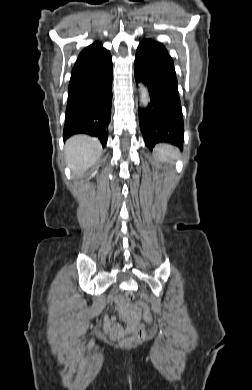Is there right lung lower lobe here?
<instances>
[{
    "label": "right lung lower lobe",
    "instance_id": "obj_1",
    "mask_svg": "<svg viewBox=\"0 0 252 390\" xmlns=\"http://www.w3.org/2000/svg\"><path fill=\"white\" fill-rule=\"evenodd\" d=\"M112 106V66L104 73L69 83L63 136L85 133L107 143Z\"/></svg>",
    "mask_w": 252,
    "mask_h": 390
}]
</instances>
